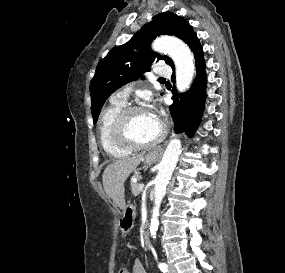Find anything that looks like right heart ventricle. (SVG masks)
<instances>
[{
  "label": "right heart ventricle",
  "instance_id": "1",
  "mask_svg": "<svg viewBox=\"0 0 285 273\" xmlns=\"http://www.w3.org/2000/svg\"><path fill=\"white\" fill-rule=\"evenodd\" d=\"M124 107V102L111 101V103L102 111L99 120L98 135L101 147L108 155L113 157H123L128 155L131 151L116 144L112 135L114 121Z\"/></svg>",
  "mask_w": 285,
  "mask_h": 273
}]
</instances>
